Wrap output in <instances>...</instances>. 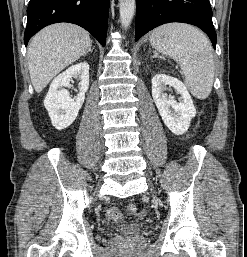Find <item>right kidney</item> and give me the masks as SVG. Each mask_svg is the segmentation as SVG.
<instances>
[{
	"label": "right kidney",
	"instance_id": "obj_1",
	"mask_svg": "<svg viewBox=\"0 0 247 257\" xmlns=\"http://www.w3.org/2000/svg\"><path fill=\"white\" fill-rule=\"evenodd\" d=\"M73 77L80 79L79 93L76 99H72L69 92L63 89L70 85ZM88 87L89 64L86 62L73 65L55 77L45 97L44 106L56 129L63 130L74 122L84 103Z\"/></svg>",
	"mask_w": 247,
	"mask_h": 257
}]
</instances>
